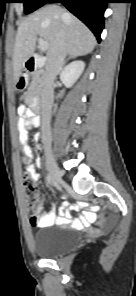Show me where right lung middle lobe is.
I'll return each mask as SVG.
<instances>
[{
  "instance_id": "obj_1",
  "label": "right lung middle lobe",
  "mask_w": 136,
  "mask_h": 296,
  "mask_svg": "<svg viewBox=\"0 0 136 296\" xmlns=\"http://www.w3.org/2000/svg\"><path fill=\"white\" fill-rule=\"evenodd\" d=\"M47 0H19L20 3L24 4L25 13H31L44 5Z\"/></svg>"
}]
</instances>
